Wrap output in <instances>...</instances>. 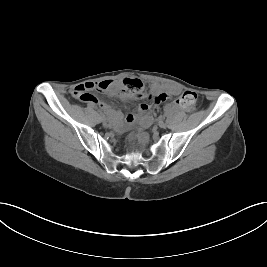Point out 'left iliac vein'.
Masks as SVG:
<instances>
[{
  "label": "left iliac vein",
  "mask_w": 267,
  "mask_h": 267,
  "mask_svg": "<svg viewBox=\"0 0 267 267\" xmlns=\"http://www.w3.org/2000/svg\"><path fill=\"white\" fill-rule=\"evenodd\" d=\"M158 125L160 128H166L167 126L166 123H164L163 121H160Z\"/></svg>",
  "instance_id": "1"
}]
</instances>
